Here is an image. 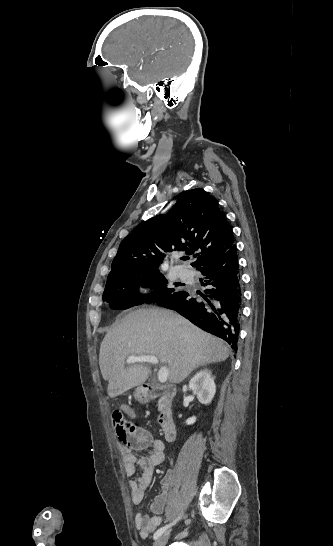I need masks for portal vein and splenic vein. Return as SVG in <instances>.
Returning <instances> with one entry per match:
<instances>
[{
  "label": "portal vein and splenic vein",
  "instance_id": "18ae733b",
  "mask_svg": "<svg viewBox=\"0 0 333 546\" xmlns=\"http://www.w3.org/2000/svg\"><path fill=\"white\" fill-rule=\"evenodd\" d=\"M136 362L158 364L159 359L153 355H139V356L132 355V356H129L126 360L127 364L136 363ZM158 379H159V382L161 383H165L167 381L168 379L167 367L164 366L159 369Z\"/></svg>",
  "mask_w": 333,
  "mask_h": 546
}]
</instances>
